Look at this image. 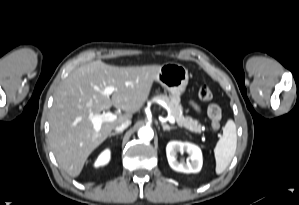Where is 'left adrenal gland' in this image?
Masks as SVG:
<instances>
[{
  "label": "left adrenal gland",
  "mask_w": 299,
  "mask_h": 205,
  "mask_svg": "<svg viewBox=\"0 0 299 205\" xmlns=\"http://www.w3.org/2000/svg\"><path fill=\"white\" fill-rule=\"evenodd\" d=\"M161 125H162V127H163V130L164 131H166V130H173V129H176V127H174V126H169V125H167V124H165V123H161Z\"/></svg>",
  "instance_id": "obj_1"
}]
</instances>
